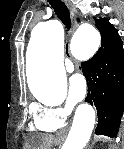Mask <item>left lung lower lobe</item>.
Masks as SVG:
<instances>
[{"mask_svg":"<svg viewBox=\"0 0 124 149\" xmlns=\"http://www.w3.org/2000/svg\"><path fill=\"white\" fill-rule=\"evenodd\" d=\"M88 84L86 101L98 114L97 135L116 137L124 109V49L120 36H102L101 47L82 62Z\"/></svg>","mask_w":124,"mask_h":149,"instance_id":"obj_1","label":"left lung lower lobe"}]
</instances>
